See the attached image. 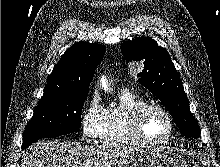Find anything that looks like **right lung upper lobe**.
<instances>
[{"instance_id": "1", "label": "right lung upper lobe", "mask_w": 220, "mask_h": 167, "mask_svg": "<svg viewBox=\"0 0 220 167\" xmlns=\"http://www.w3.org/2000/svg\"><path fill=\"white\" fill-rule=\"evenodd\" d=\"M105 53V46L97 43L78 42L61 57L52 73L41 99L68 91L89 89L97 65Z\"/></svg>"}]
</instances>
